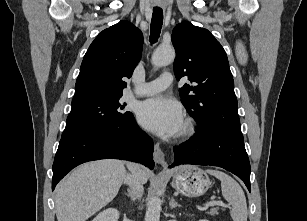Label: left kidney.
<instances>
[{
    "label": "left kidney",
    "instance_id": "1",
    "mask_svg": "<svg viewBox=\"0 0 307 221\" xmlns=\"http://www.w3.org/2000/svg\"><path fill=\"white\" fill-rule=\"evenodd\" d=\"M199 221H209V220L204 219V220H199Z\"/></svg>",
    "mask_w": 307,
    "mask_h": 221
}]
</instances>
